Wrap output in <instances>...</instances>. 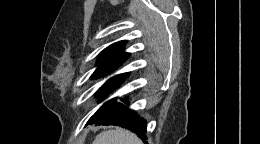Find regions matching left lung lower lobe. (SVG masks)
Returning a JSON list of instances; mask_svg holds the SVG:
<instances>
[{
    "label": "left lung lower lobe",
    "mask_w": 260,
    "mask_h": 144,
    "mask_svg": "<svg viewBox=\"0 0 260 144\" xmlns=\"http://www.w3.org/2000/svg\"><path fill=\"white\" fill-rule=\"evenodd\" d=\"M112 99L106 107H104L98 114H96L87 124L96 125H115L125 127L136 133L138 137L146 143V121L132 111L125 104H128L126 98Z\"/></svg>",
    "instance_id": "0a47b994"
}]
</instances>
